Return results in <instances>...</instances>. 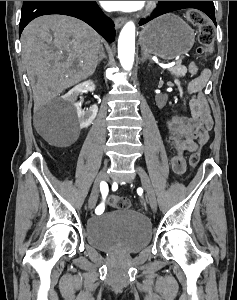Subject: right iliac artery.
Returning <instances> with one entry per match:
<instances>
[{
  "label": "right iliac artery",
  "instance_id": "obj_1",
  "mask_svg": "<svg viewBox=\"0 0 237 300\" xmlns=\"http://www.w3.org/2000/svg\"><path fill=\"white\" fill-rule=\"evenodd\" d=\"M100 191H101V193H102L103 199H105L106 196H107V194H108V185H107L106 182L103 181V182L100 183ZM97 210L103 211V210H104V203L100 204V205L95 209V211H97Z\"/></svg>",
  "mask_w": 237,
  "mask_h": 300
}]
</instances>
